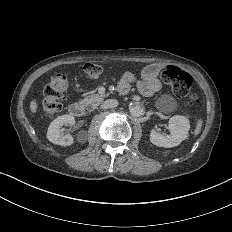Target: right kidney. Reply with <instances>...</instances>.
<instances>
[{
    "instance_id": "obj_1",
    "label": "right kidney",
    "mask_w": 232,
    "mask_h": 232,
    "mask_svg": "<svg viewBox=\"0 0 232 232\" xmlns=\"http://www.w3.org/2000/svg\"><path fill=\"white\" fill-rule=\"evenodd\" d=\"M74 125L75 118L72 115L59 116L50 123L46 137L53 144L70 145L73 142V137L69 133H65L64 126L72 127Z\"/></svg>"
}]
</instances>
